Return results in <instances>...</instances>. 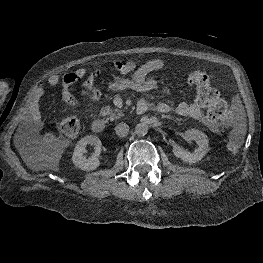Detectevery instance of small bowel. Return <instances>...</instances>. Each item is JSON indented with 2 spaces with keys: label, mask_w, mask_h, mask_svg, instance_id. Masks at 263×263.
Wrapping results in <instances>:
<instances>
[{
  "label": "small bowel",
  "mask_w": 263,
  "mask_h": 263,
  "mask_svg": "<svg viewBox=\"0 0 263 263\" xmlns=\"http://www.w3.org/2000/svg\"><path fill=\"white\" fill-rule=\"evenodd\" d=\"M117 65H122L119 69ZM114 68L123 74H128L129 77H117L109 85L112 90H134L138 92H148L157 87V80L150 77L152 73L159 72L165 69L164 61L160 59H152L142 65H136L133 62H120L114 63ZM101 74V69L96 68L91 72H88L85 68H78L75 71L64 75L62 78L56 74L51 75L48 78V84L50 86H56L61 84V96L63 101L70 105L76 106L78 104L77 98L73 95L71 87L74 83L83 80V86L94 102H99L102 98V92L96 85V80ZM44 94L42 88H38L33 96V102L31 104V119L30 128L33 133L39 131V102ZM140 102H144L148 107H152L149 101L142 99ZM203 105L196 98L193 102L182 101L177 104L175 111L181 116L191 117L200 121L206 125L211 131L218 132L220 129L219 123L210 118L203 112ZM155 108L161 113H168L172 110V106L167 102H159L155 105ZM45 143H53L55 137L51 133H47L43 136Z\"/></svg>",
  "instance_id": "1"
}]
</instances>
